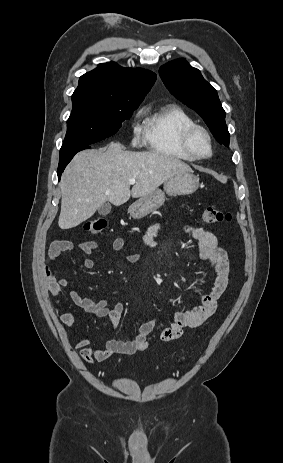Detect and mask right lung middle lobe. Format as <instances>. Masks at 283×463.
<instances>
[{
    "label": "right lung middle lobe",
    "mask_w": 283,
    "mask_h": 463,
    "mask_svg": "<svg viewBox=\"0 0 283 463\" xmlns=\"http://www.w3.org/2000/svg\"><path fill=\"white\" fill-rule=\"evenodd\" d=\"M72 112L61 152L90 145L115 134L140 102L72 95Z\"/></svg>",
    "instance_id": "obj_1"
}]
</instances>
